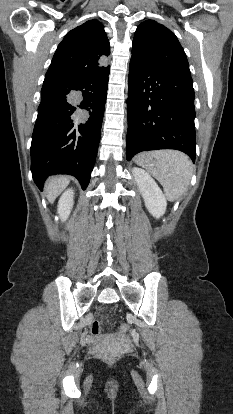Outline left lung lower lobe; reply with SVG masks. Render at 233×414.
Segmentation results:
<instances>
[{
  "label": "left lung lower lobe",
  "mask_w": 233,
  "mask_h": 414,
  "mask_svg": "<svg viewBox=\"0 0 233 414\" xmlns=\"http://www.w3.org/2000/svg\"><path fill=\"white\" fill-rule=\"evenodd\" d=\"M192 78L152 69L132 59L127 99V160L142 151L180 150L195 161Z\"/></svg>",
  "instance_id": "obj_1"
}]
</instances>
